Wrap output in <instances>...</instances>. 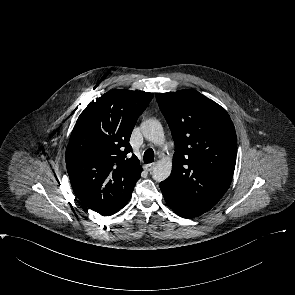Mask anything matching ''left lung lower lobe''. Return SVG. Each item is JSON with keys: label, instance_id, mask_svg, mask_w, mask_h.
I'll return each instance as SVG.
<instances>
[{"label": "left lung lower lobe", "instance_id": "0a47b994", "mask_svg": "<svg viewBox=\"0 0 295 295\" xmlns=\"http://www.w3.org/2000/svg\"><path fill=\"white\" fill-rule=\"evenodd\" d=\"M160 189L163 193L166 203L176 214L188 219L196 217L188 212L182 205H180L176 196L167 190L165 186L160 184Z\"/></svg>", "mask_w": 295, "mask_h": 295}]
</instances>
